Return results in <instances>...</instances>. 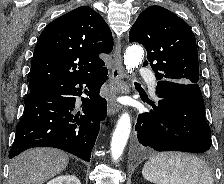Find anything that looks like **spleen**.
<instances>
[{
	"instance_id": "1",
	"label": "spleen",
	"mask_w": 224,
	"mask_h": 184,
	"mask_svg": "<svg viewBox=\"0 0 224 184\" xmlns=\"http://www.w3.org/2000/svg\"><path fill=\"white\" fill-rule=\"evenodd\" d=\"M142 174L156 184H213L209 167L198 157L186 153L156 154L145 163Z\"/></svg>"
}]
</instances>
